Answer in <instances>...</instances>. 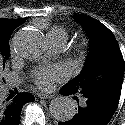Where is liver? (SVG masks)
Returning a JSON list of instances; mask_svg holds the SVG:
<instances>
[{"label": "liver", "mask_w": 125, "mask_h": 125, "mask_svg": "<svg viewBox=\"0 0 125 125\" xmlns=\"http://www.w3.org/2000/svg\"><path fill=\"white\" fill-rule=\"evenodd\" d=\"M1 67H2V64H1V62H0V70H1Z\"/></svg>", "instance_id": "6515ba94"}]
</instances>
